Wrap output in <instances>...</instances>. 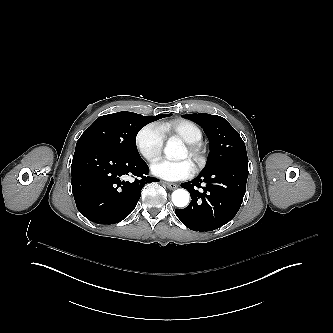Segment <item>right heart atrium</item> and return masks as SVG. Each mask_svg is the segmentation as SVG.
<instances>
[{"mask_svg": "<svg viewBox=\"0 0 333 333\" xmlns=\"http://www.w3.org/2000/svg\"><path fill=\"white\" fill-rule=\"evenodd\" d=\"M164 144V136L154 124L143 127L135 138V146L139 154L151 167L161 157Z\"/></svg>", "mask_w": 333, "mask_h": 333, "instance_id": "obj_1", "label": "right heart atrium"}]
</instances>
